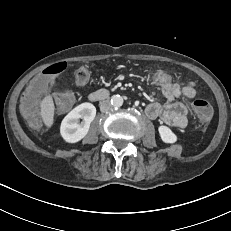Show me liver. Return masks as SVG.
Wrapping results in <instances>:
<instances>
[{
	"mask_svg": "<svg viewBox=\"0 0 231 231\" xmlns=\"http://www.w3.org/2000/svg\"><path fill=\"white\" fill-rule=\"evenodd\" d=\"M55 106L51 95H46L40 103V115L44 125L51 128L54 123Z\"/></svg>",
	"mask_w": 231,
	"mask_h": 231,
	"instance_id": "obj_1",
	"label": "liver"
}]
</instances>
